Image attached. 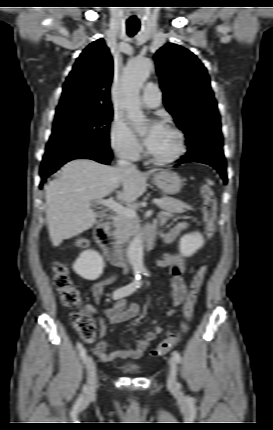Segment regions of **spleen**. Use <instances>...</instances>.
I'll list each match as a JSON object with an SVG mask.
<instances>
[{"label": "spleen", "instance_id": "obj_1", "mask_svg": "<svg viewBox=\"0 0 273 430\" xmlns=\"http://www.w3.org/2000/svg\"><path fill=\"white\" fill-rule=\"evenodd\" d=\"M207 182H208L209 185H213L214 184L213 181H211L209 179H207Z\"/></svg>", "mask_w": 273, "mask_h": 430}]
</instances>
